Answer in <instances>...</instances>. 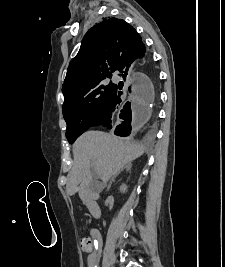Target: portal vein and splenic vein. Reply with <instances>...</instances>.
<instances>
[{"label": "portal vein and splenic vein", "mask_w": 225, "mask_h": 267, "mask_svg": "<svg viewBox=\"0 0 225 267\" xmlns=\"http://www.w3.org/2000/svg\"><path fill=\"white\" fill-rule=\"evenodd\" d=\"M91 166L95 168V171L97 172L96 164L93 162L91 163Z\"/></svg>", "instance_id": "18ae733b"}]
</instances>
